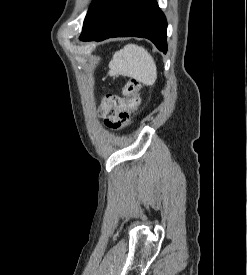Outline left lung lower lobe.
<instances>
[{
	"mask_svg": "<svg viewBox=\"0 0 247 275\" xmlns=\"http://www.w3.org/2000/svg\"><path fill=\"white\" fill-rule=\"evenodd\" d=\"M167 22L156 0H101L84 21L82 41L143 37L167 52Z\"/></svg>",
	"mask_w": 247,
	"mask_h": 275,
	"instance_id": "obj_1",
	"label": "left lung lower lobe"
}]
</instances>
